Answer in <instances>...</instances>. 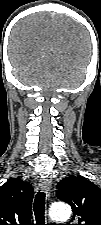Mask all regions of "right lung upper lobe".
Here are the masks:
<instances>
[{"label": "right lung upper lobe", "instance_id": "right-lung-upper-lobe-1", "mask_svg": "<svg viewBox=\"0 0 101 225\" xmlns=\"http://www.w3.org/2000/svg\"><path fill=\"white\" fill-rule=\"evenodd\" d=\"M33 188L10 179L0 188V225H31Z\"/></svg>", "mask_w": 101, "mask_h": 225}]
</instances>
